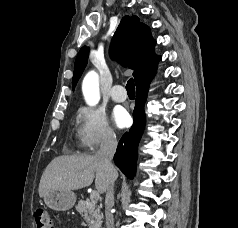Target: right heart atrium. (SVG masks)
I'll list each match as a JSON object with an SVG mask.
<instances>
[{
  "mask_svg": "<svg viewBox=\"0 0 238 228\" xmlns=\"http://www.w3.org/2000/svg\"><path fill=\"white\" fill-rule=\"evenodd\" d=\"M77 137L80 145L87 152L112 146L117 141L105 113L98 108L88 106H83L78 111Z\"/></svg>",
  "mask_w": 238,
  "mask_h": 228,
  "instance_id": "obj_1",
  "label": "right heart atrium"
}]
</instances>
